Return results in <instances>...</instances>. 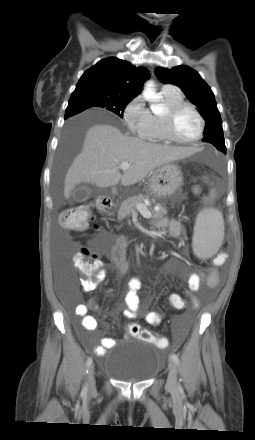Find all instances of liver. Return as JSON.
<instances>
[{
	"label": "liver",
	"mask_w": 255,
	"mask_h": 440,
	"mask_svg": "<svg viewBox=\"0 0 255 440\" xmlns=\"http://www.w3.org/2000/svg\"><path fill=\"white\" fill-rule=\"evenodd\" d=\"M195 152L194 147L157 145L124 136L111 125H95L87 131L82 151L67 171L64 196L69 198L80 183L101 188L119 182L123 186L134 185L156 168ZM121 162L131 165L123 174L119 171Z\"/></svg>",
	"instance_id": "obj_1"
}]
</instances>
